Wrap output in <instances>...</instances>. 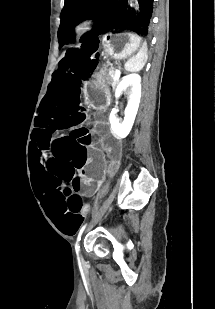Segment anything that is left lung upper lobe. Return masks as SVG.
<instances>
[{"label": "left lung upper lobe", "instance_id": "obj_1", "mask_svg": "<svg viewBox=\"0 0 215 309\" xmlns=\"http://www.w3.org/2000/svg\"><path fill=\"white\" fill-rule=\"evenodd\" d=\"M152 13L153 0H65L58 30L59 47L67 43L73 28L87 18L98 19V23L81 37V42L113 30H131L146 36Z\"/></svg>", "mask_w": 215, "mask_h": 309}]
</instances>
